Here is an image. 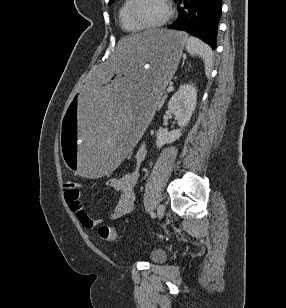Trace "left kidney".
<instances>
[{"label":"left kidney","mask_w":286,"mask_h":308,"mask_svg":"<svg viewBox=\"0 0 286 308\" xmlns=\"http://www.w3.org/2000/svg\"><path fill=\"white\" fill-rule=\"evenodd\" d=\"M197 104V90L189 84L182 85L172 96L168 103V109L175 115L180 129L167 131L160 127L157 132L156 146L161 148L165 144L173 143L181 136V130L187 126Z\"/></svg>","instance_id":"5707ae66"}]
</instances>
